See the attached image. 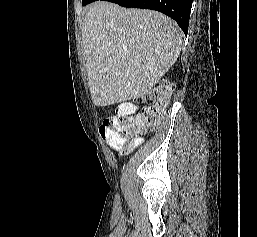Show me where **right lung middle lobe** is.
<instances>
[{"mask_svg":"<svg viewBox=\"0 0 257 237\" xmlns=\"http://www.w3.org/2000/svg\"><path fill=\"white\" fill-rule=\"evenodd\" d=\"M94 1H96V0H82V5L84 6V5L94 2Z\"/></svg>","mask_w":257,"mask_h":237,"instance_id":"dd1d6c3e","label":"right lung middle lobe"}]
</instances>
